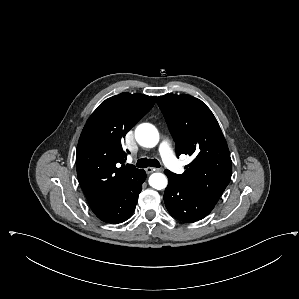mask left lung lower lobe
Segmentation results:
<instances>
[{"mask_svg":"<svg viewBox=\"0 0 299 299\" xmlns=\"http://www.w3.org/2000/svg\"><path fill=\"white\" fill-rule=\"evenodd\" d=\"M169 183L164 193V201L169 213L185 223L195 222L206 217L216 203L181 184L165 170Z\"/></svg>","mask_w":299,"mask_h":299,"instance_id":"1","label":"left lung lower lobe"}]
</instances>
